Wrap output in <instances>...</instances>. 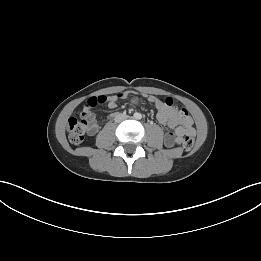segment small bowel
Segmentation results:
<instances>
[{
  "instance_id": "obj_1",
  "label": "small bowel",
  "mask_w": 261,
  "mask_h": 261,
  "mask_svg": "<svg viewBox=\"0 0 261 261\" xmlns=\"http://www.w3.org/2000/svg\"><path fill=\"white\" fill-rule=\"evenodd\" d=\"M147 98L157 108V120L161 124L173 130L165 135L164 144L166 147L170 148L181 143L185 135L195 134L192 119L190 117L180 119L177 114L178 109L173 106V101L171 98L160 99L155 96H148ZM105 103L109 108H114L116 106V98L107 97ZM88 115L93 119L90 112H88ZM98 128L99 125L93 121L90 127V133L95 134L98 131Z\"/></svg>"
}]
</instances>
